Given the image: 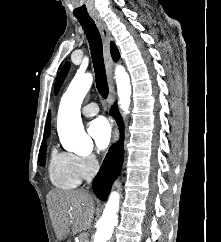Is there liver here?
Segmentation results:
<instances>
[{
    "label": "liver",
    "instance_id": "liver-1",
    "mask_svg": "<svg viewBox=\"0 0 221 242\" xmlns=\"http://www.w3.org/2000/svg\"><path fill=\"white\" fill-rule=\"evenodd\" d=\"M52 225L59 241L91 226L95 204L85 190L64 192L54 190L47 195Z\"/></svg>",
    "mask_w": 221,
    "mask_h": 242
}]
</instances>
